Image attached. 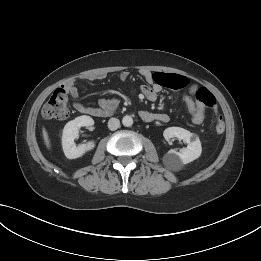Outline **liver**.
<instances>
[{
  "label": "liver",
  "instance_id": "liver-1",
  "mask_svg": "<svg viewBox=\"0 0 261 261\" xmlns=\"http://www.w3.org/2000/svg\"><path fill=\"white\" fill-rule=\"evenodd\" d=\"M42 135H43V139H44V142L47 146V148H50V140H49V136H48V133L46 131V129L43 127L42 129Z\"/></svg>",
  "mask_w": 261,
  "mask_h": 261
}]
</instances>
